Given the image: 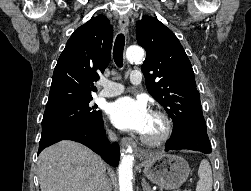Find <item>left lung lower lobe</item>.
Instances as JSON below:
<instances>
[{
    "instance_id": "obj_1",
    "label": "left lung lower lobe",
    "mask_w": 251,
    "mask_h": 191,
    "mask_svg": "<svg viewBox=\"0 0 251 191\" xmlns=\"http://www.w3.org/2000/svg\"><path fill=\"white\" fill-rule=\"evenodd\" d=\"M189 149L206 154L211 153V144L206 130L190 128L176 135H171L166 143L165 151Z\"/></svg>"
}]
</instances>
